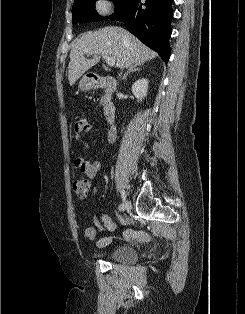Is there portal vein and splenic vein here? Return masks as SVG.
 <instances>
[{
  "label": "portal vein and splenic vein",
  "mask_w": 245,
  "mask_h": 314,
  "mask_svg": "<svg viewBox=\"0 0 245 314\" xmlns=\"http://www.w3.org/2000/svg\"><path fill=\"white\" fill-rule=\"evenodd\" d=\"M89 54H92V53H89ZM102 57L106 60V63L109 65V66H114L115 65V58L113 57H110L108 56L107 54L105 53H102Z\"/></svg>",
  "instance_id": "obj_1"
}]
</instances>
